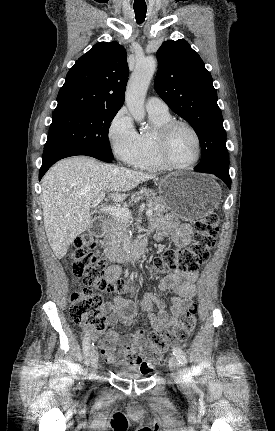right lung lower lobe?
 Returning <instances> with one entry per match:
<instances>
[{"instance_id": "98d812e1", "label": "right lung lower lobe", "mask_w": 275, "mask_h": 431, "mask_svg": "<svg viewBox=\"0 0 275 431\" xmlns=\"http://www.w3.org/2000/svg\"><path fill=\"white\" fill-rule=\"evenodd\" d=\"M76 155L91 156L108 163H111L113 160V158L98 150L83 146H66L53 149H44L42 166L39 170V179L41 180L46 171L58 160Z\"/></svg>"}]
</instances>
